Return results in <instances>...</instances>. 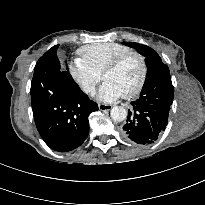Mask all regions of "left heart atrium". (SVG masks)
I'll list each match as a JSON object with an SVG mask.
<instances>
[{
    "label": "left heart atrium",
    "mask_w": 205,
    "mask_h": 205,
    "mask_svg": "<svg viewBox=\"0 0 205 205\" xmlns=\"http://www.w3.org/2000/svg\"><path fill=\"white\" fill-rule=\"evenodd\" d=\"M123 92L116 85L109 81H104L100 87L98 98L106 102L115 101L123 96Z\"/></svg>",
    "instance_id": "obj_1"
}]
</instances>
